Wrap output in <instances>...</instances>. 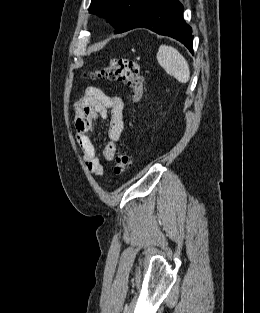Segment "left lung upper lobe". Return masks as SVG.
Wrapping results in <instances>:
<instances>
[{
	"instance_id": "1",
	"label": "left lung upper lobe",
	"mask_w": 260,
	"mask_h": 313,
	"mask_svg": "<svg viewBox=\"0 0 260 313\" xmlns=\"http://www.w3.org/2000/svg\"><path fill=\"white\" fill-rule=\"evenodd\" d=\"M153 0H92L89 12L107 17L122 33Z\"/></svg>"
}]
</instances>
